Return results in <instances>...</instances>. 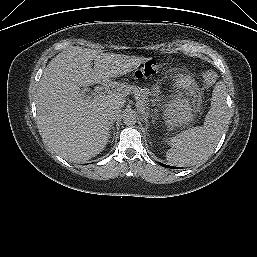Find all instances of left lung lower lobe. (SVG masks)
<instances>
[{
  "label": "left lung lower lobe",
  "instance_id": "obj_1",
  "mask_svg": "<svg viewBox=\"0 0 257 257\" xmlns=\"http://www.w3.org/2000/svg\"><path fill=\"white\" fill-rule=\"evenodd\" d=\"M160 165H162L163 167H166V168H170V169H178L179 168V167H173V166L165 165V164H162V163H160Z\"/></svg>",
  "mask_w": 257,
  "mask_h": 257
}]
</instances>
